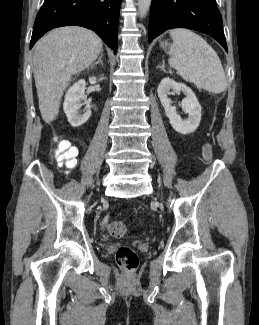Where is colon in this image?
<instances>
[{"mask_svg": "<svg viewBox=\"0 0 259 325\" xmlns=\"http://www.w3.org/2000/svg\"><path fill=\"white\" fill-rule=\"evenodd\" d=\"M212 155L211 148L206 147L204 150V158L207 161H211ZM54 156L58 163L67 169H71L76 165L77 152L65 140L56 141ZM105 228L114 238H121L126 234V225L121 221L106 220ZM116 261L122 269L126 271H133L138 265V256L132 248L128 246H121L117 250Z\"/></svg>", "mask_w": 259, "mask_h": 325, "instance_id": "colon-1", "label": "colon"}]
</instances>
